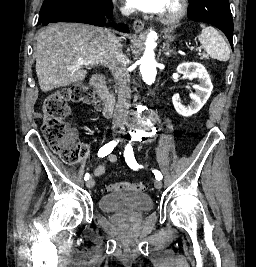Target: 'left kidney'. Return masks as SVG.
I'll use <instances>...</instances> for the list:
<instances>
[{"instance_id": "5707ae66", "label": "left kidney", "mask_w": 256, "mask_h": 267, "mask_svg": "<svg viewBox=\"0 0 256 267\" xmlns=\"http://www.w3.org/2000/svg\"><path fill=\"white\" fill-rule=\"evenodd\" d=\"M176 70L178 74H184L188 80L198 78L200 84H194V86H192L195 90V94H190L191 102L189 106H184V104H182L179 94H174V96H172L173 106L176 112L181 114V116L197 114L211 96L213 86L210 76L203 64H198V62H183V64L177 66Z\"/></svg>"}]
</instances>
